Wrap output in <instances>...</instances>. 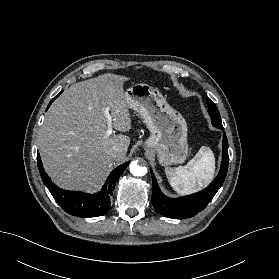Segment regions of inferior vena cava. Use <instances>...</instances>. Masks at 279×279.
Listing matches in <instances>:
<instances>
[{
  "label": "inferior vena cava",
  "mask_w": 279,
  "mask_h": 279,
  "mask_svg": "<svg viewBox=\"0 0 279 279\" xmlns=\"http://www.w3.org/2000/svg\"><path fill=\"white\" fill-rule=\"evenodd\" d=\"M120 153H121V150L116 148V149L110 151L109 156L112 158H116L120 155Z\"/></svg>",
  "instance_id": "602c4592"
}]
</instances>
